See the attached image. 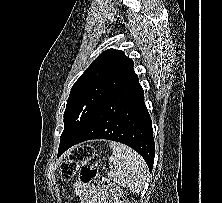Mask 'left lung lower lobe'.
I'll use <instances>...</instances> for the list:
<instances>
[{
    "label": "left lung lower lobe",
    "mask_w": 222,
    "mask_h": 203,
    "mask_svg": "<svg viewBox=\"0 0 222 203\" xmlns=\"http://www.w3.org/2000/svg\"><path fill=\"white\" fill-rule=\"evenodd\" d=\"M91 139H107L126 144L144 158L150 172L152 171L155 155L152 121L135 73L104 101L72 142L58 149V154Z\"/></svg>",
    "instance_id": "obj_1"
}]
</instances>
